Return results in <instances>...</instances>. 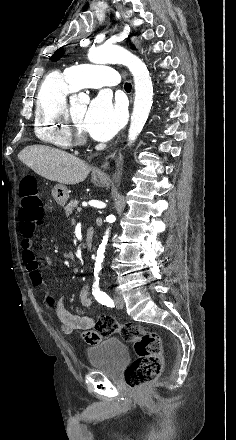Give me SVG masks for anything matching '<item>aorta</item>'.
<instances>
[{
	"label": "aorta",
	"instance_id": "obj_1",
	"mask_svg": "<svg viewBox=\"0 0 236 440\" xmlns=\"http://www.w3.org/2000/svg\"><path fill=\"white\" fill-rule=\"evenodd\" d=\"M88 59L95 64H122L127 66L132 73L135 84V100L128 132V140L130 143L134 142L141 133L148 119L153 103V84L147 66L139 57L118 45L104 44L92 48L88 52ZM81 97L82 99H87L86 96ZM72 100H77V96L74 95ZM114 219L113 215L108 217V220L113 221ZM108 237L109 229L106 230L103 240L97 250L94 264V273L96 275L102 269Z\"/></svg>",
	"mask_w": 236,
	"mask_h": 440
}]
</instances>
